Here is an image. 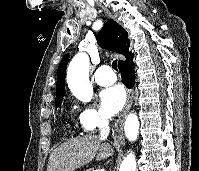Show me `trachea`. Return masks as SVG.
I'll return each instance as SVG.
<instances>
[{
	"mask_svg": "<svg viewBox=\"0 0 199 171\" xmlns=\"http://www.w3.org/2000/svg\"><path fill=\"white\" fill-rule=\"evenodd\" d=\"M112 67H113L114 70L117 71V60H114V61L112 62Z\"/></svg>",
	"mask_w": 199,
	"mask_h": 171,
	"instance_id": "1",
	"label": "trachea"
}]
</instances>
